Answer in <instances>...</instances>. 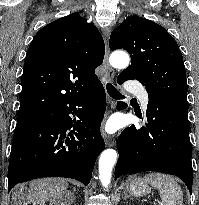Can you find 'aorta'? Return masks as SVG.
<instances>
[{"label":"aorta","instance_id":"762f6f07","mask_svg":"<svg viewBox=\"0 0 199 205\" xmlns=\"http://www.w3.org/2000/svg\"><path fill=\"white\" fill-rule=\"evenodd\" d=\"M129 56L124 51H115L111 54L109 62L115 68H126L129 64ZM117 160V152L114 149L104 150L99 159V179L104 187H108L112 169Z\"/></svg>","mask_w":199,"mask_h":205}]
</instances>
